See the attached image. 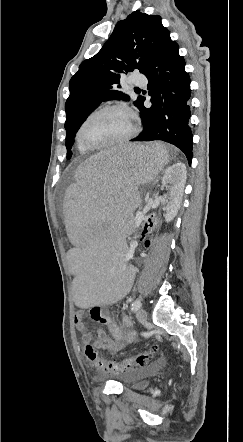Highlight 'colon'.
Here are the masks:
<instances>
[{
  "instance_id": "colon-1",
  "label": "colon",
  "mask_w": 243,
  "mask_h": 442,
  "mask_svg": "<svg viewBox=\"0 0 243 442\" xmlns=\"http://www.w3.org/2000/svg\"><path fill=\"white\" fill-rule=\"evenodd\" d=\"M142 224V230L139 237V242L145 244L150 253L156 252V241L159 228L155 226L156 221L153 218H145ZM156 347H151L148 350L142 351L134 356H122L119 360L106 359L99 355L94 347L90 344L84 346V363L87 366H92L95 370L104 374H123L137 370L146 365H152L154 363V355L156 353Z\"/></svg>"
}]
</instances>
